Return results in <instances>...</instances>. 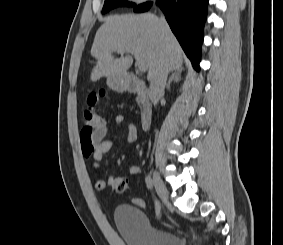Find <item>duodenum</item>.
<instances>
[{
	"mask_svg": "<svg viewBox=\"0 0 283 245\" xmlns=\"http://www.w3.org/2000/svg\"><path fill=\"white\" fill-rule=\"evenodd\" d=\"M120 84L124 90L137 94L141 126L148 129L152 119V108L147 87L132 73H127Z\"/></svg>",
	"mask_w": 283,
	"mask_h": 245,
	"instance_id": "obj_1",
	"label": "duodenum"
}]
</instances>
